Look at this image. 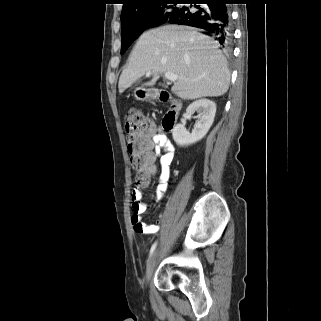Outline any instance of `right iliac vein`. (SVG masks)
<instances>
[{
	"label": "right iliac vein",
	"instance_id": "1",
	"mask_svg": "<svg viewBox=\"0 0 321 321\" xmlns=\"http://www.w3.org/2000/svg\"><path fill=\"white\" fill-rule=\"evenodd\" d=\"M157 254H158V252L155 251V252L151 255L150 259H149L148 262H147L146 275H145V281H146V283L149 282V280H150V278H151V276H152V273H153V271H154Z\"/></svg>",
	"mask_w": 321,
	"mask_h": 321
}]
</instances>
